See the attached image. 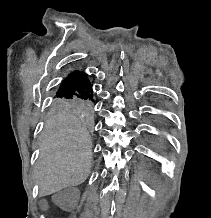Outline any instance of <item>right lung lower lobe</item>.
<instances>
[{"instance_id": "98d812e1", "label": "right lung lower lobe", "mask_w": 211, "mask_h": 218, "mask_svg": "<svg viewBox=\"0 0 211 218\" xmlns=\"http://www.w3.org/2000/svg\"><path fill=\"white\" fill-rule=\"evenodd\" d=\"M93 95L87 75L80 71H74L64 78L54 97H78L94 101Z\"/></svg>"}]
</instances>
